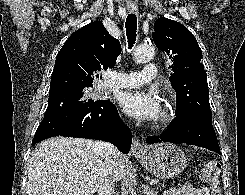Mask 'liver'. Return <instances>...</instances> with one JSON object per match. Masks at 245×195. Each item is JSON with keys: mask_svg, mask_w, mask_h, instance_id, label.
Returning <instances> with one entry per match:
<instances>
[{"mask_svg": "<svg viewBox=\"0 0 245 195\" xmlns=\"http://www.w3.org/2000/svg\"><path fill=\"white\" fill-rule=\"evenodd\" d=\"M102 142L55 137L39 143L28 160L27 195H93L103 169ZM125 158L117 151L114 179L124 175Z\"/></svg>", "mask_w": 245, "mask_h": 195, "instance_id": "6515ba94", "label": "liver"}]
</instances>
